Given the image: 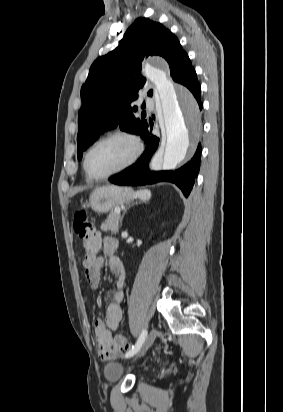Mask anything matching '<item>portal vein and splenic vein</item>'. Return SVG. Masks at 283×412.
Returning <instances> with one entry per match:
<instances>
[{"label": "portal vein and splenic vein", "mask_w": 283, "mask_h": 412, "mask_svg": "<svg viewBox=\"0 0 283 412\" xmlns=\"http://www.w3.org/2000/svg\"><path fill=\"white\" fill-rule=\"evenodd\" d=\"M116 213L120 214V208H115L114 210Z\"/></svg>", "instance_id": "portal-vein-and-splenic-vein-1"}]
</instances>
